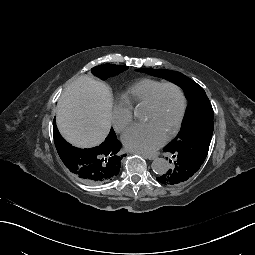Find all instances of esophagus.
<instances>
[{
	"instance_id": "obj_1",
	"label": "esophagus",
	"mask_w": 255,
	"mask_h": 255,
	"mask_svg": "<svg viewBox=\"0 0 255 255\" xmlns=\"http://www.w3.org/2000/svg\"><path fill=\"white\" fill-rule=\"evenodd\" d=\"M133 154H140L142 156H144L145 158L149 159V160H154L157 156L155 154H146L143 152H139V151H132Z\"/></svg>"
}]
</instances>
